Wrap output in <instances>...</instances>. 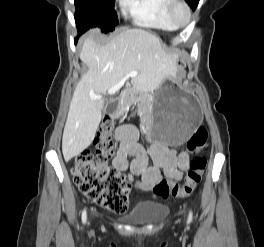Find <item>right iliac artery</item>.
<instances>
[{"mask_svg":"<svg viewBox=\"0 0 264 247\" xmlns=\"http://www.w3.org/2000/svg\"><path fill=\"white\" fill-rule=\"evenodd\" d=\"M86 219H87V216H86V209H84L83 212H82V222H83V223H86Z\"/></svg>","mask_w":264,"mask_h":247,"instance_id":"82829eb1","label":"right iliac artery"}]
</instances>
